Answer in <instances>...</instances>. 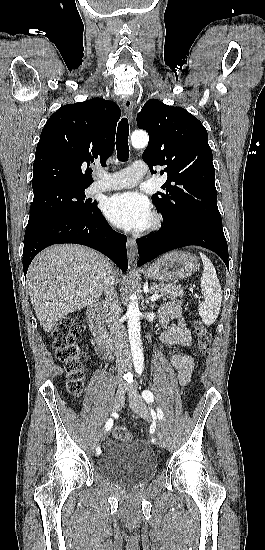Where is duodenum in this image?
<instances>
[{"label":"duodenum","mask_w":265,"mask_h":550,"mask_svg":"<svg viewBox=\"0 0 265 550\" xmlns=\"http://www.w3.org/2000/svg\"><path fill=\"white\" fill-rule=\"evenodd\" d=\"M100 306L92 304L87 310L89 328L94 336L96 344L103 350H110L114 347L113 340L108 335L99 316Z\"/></svg>","instance_id":"1"}]
</instances>
